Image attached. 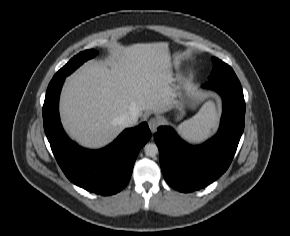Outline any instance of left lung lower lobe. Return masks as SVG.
Returning <instances> with one entry per match:
<instances>
[{
  "label": "left lung lower lobe",
  "mask_w": 290,
  "mask_h": 236,
  "mask_svg": "<svg viewBox=\"0 0 290 236\" xmlns=\"http://www.w3.org/2000/svg\"><path fill=\"white\" fill-rule=\"evenodd\" d=\"M202 87L217 91L223 100L217 134L198 146L187 144L167 126L159 127L154 135L164 178L181 192L199 190L220 177L229 167L244 130L245 101L237 76L212 79Z\"/></svg>",
  "instance_id": "0a47b994"
}]
</instances>
